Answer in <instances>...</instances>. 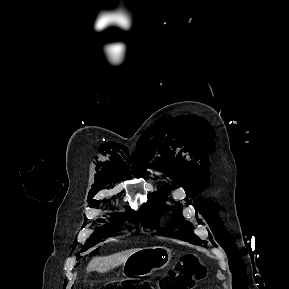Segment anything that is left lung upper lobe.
<instances>
[{"label":"left lung upper lobe","mask_w":289,"mask_h":289,"mask_svg":"<svg viewBox=\"0 0 289 289\" xmlns=\"http://www.w3.org/2000/svg\"><path fill=\"white\" fill-rule=\"evenodd\" d=\"M168 190L163 188L156 193H152L148 202L144 205L143 213L141 214L142 223L145 228L156 230L158 235L169 236L179 240L188 241L192 244L202 243L193 233V225L185 221L181 211L182 206H176V211L165 229H159V220L163 213L168 210L162 204L166 201ZM174 202V201H173Z\"/></svg>","instance_id":"obj_1"}]
</instances>
